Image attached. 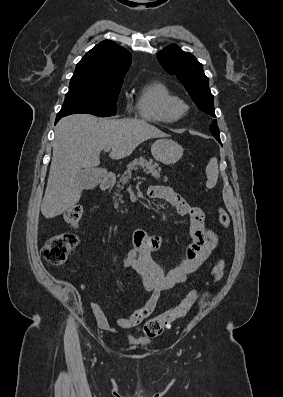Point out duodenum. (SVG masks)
<instances>
[{
    "instance_id": "duodenum-1",
    "label": "duodenum",
    "mask_w": 283,
    "mask_h": 397,
    "mask_svg": "<svg viewBox=\"0 0 283 397\" xmlns=\"http://www.w3.org/2000/svg\"><path fill=\"white\" fill-rule=\"evenodd\" d=\"M115 183V177L113 175H107L101 182V189L102 190H109L113 187Z\"/></svg>"
}]
</instances>
